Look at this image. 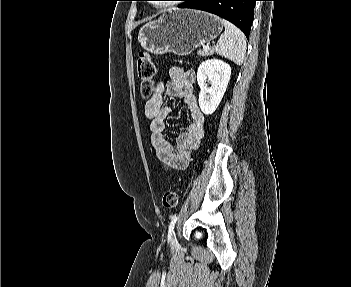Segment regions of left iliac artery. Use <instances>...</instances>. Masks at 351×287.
Here are the masks:
<instances>
[{
  "mask_svg": "<svg viewBox=\"0 0 351 287\" xmlns=\"http://www.w3.org/2000/svg\"><path fill=\"white\" fill-rule=\"evenodd\" d=\"M178 217L176 215L172 216L171 217V222H170V225H169V235L171 234V232L173 231L174 229V225L177 221Z\"/></svg>",
  "mask_w": 351,
  "mask_h": 287,
  "instance_id": "left-iliac-artery-1",
  "label": "left iliac artery"
}]
</instances>
